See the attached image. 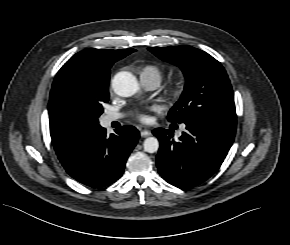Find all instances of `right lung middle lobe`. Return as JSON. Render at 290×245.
Returning <instances> with one entry per match:
<instances>
[{
  "label": "right lung middle lobe",
  "instance_id": "obj_1",
  "mask_svg": "<svg viewBox=\"0 0 290 245\" xmlns=\"http://www.w3.org/2000/svg\"><path fill=\"white\" fill-rule=\"evenodd\" d=\"M111 65L106 68H75L63 77L60 90L67 102L83 114L93 125L108 102V83Z\"/></svg>",
  "mask_w": 290,
  "mask_h": 245
}]
</instances>
